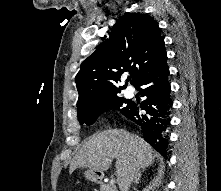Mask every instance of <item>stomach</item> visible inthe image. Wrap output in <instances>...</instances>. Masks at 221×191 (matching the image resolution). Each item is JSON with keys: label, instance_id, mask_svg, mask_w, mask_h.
Listing matches in <instances>:
<instances>
[{"label": "stomach", "instance_id": "1", "mask_svg": "<svg viewBox=\"0 0 221 191\" xmlns=\"http://www.w3.org/2000/svg\"><path fill=\"white\" fill-rule=\"evenodd\" d=\"M102 172L94 171V170H87L85 171L84 175L86 179L92 181V182H99L102 178Z\"/></svg>", "mask_w": 221, "mask_h": 191}]
</instances>
